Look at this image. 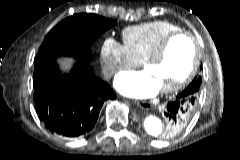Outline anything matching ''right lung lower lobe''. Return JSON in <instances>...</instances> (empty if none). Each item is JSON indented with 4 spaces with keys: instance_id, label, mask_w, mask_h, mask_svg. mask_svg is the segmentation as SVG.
<instances>
[{
    "instance_id": "1",
    "label": "right lung lower lobe",
    "mask_w": 240,
    "mask_h": 160,
    "mask_svg": "<svg viewBox=\"0 0 240 160\" xmlns=\"http://www.w3.org/2000/svg\"><path fill=\"white\" fill-rule=\"evenodd\" d=\"M33 87L40 120L52 133L70 138L88 134L103 103L116 98L90 65L78 63L72 72L61 76L55 58L35 64Z\"/></svg>"
}]
</instances>
